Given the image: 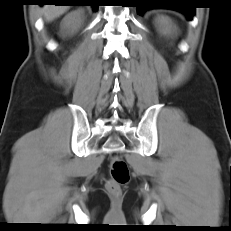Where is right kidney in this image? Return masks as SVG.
<instances>
[{
	"label": "right kidney",
	"mask_w": 231,
	"mask_h": 231,
	"mask_svg": "<svg viewBox=\"0 0 231 231\" xmlns=\"http://www.w3.org/2000/svg\"><path fill=\"white\" fill-rule=\"evenodd\" d=\"M83 23V11L76 10L68 13L61 22V31L63 35L74 34Z\"/></svg>",
	"instance_id": "right-kidney-1"
}]
</instances>
